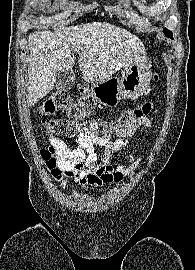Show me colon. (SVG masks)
I'll list each match as a JSON object with an SVG mask.
<instances>
[{
    "instance_id": "colon-1",
    "label": "colon",
    "mask_w": 195,
    "mask_h": 270,
    "mask_svg": "<svg viewBox=\"0 0 195 270\" xmlns=\"http://www.w3.org/2000/svg\"><path fill=\"white\" fill-rule=\"evenodd\" d=\"M158 80V75H154ZM153 109L151 101H145L137 106L127 109L112 123L106 124L99 120H90L95 110V100L87 87H81L78 101L74 102L65 90H58L51 94L41 105L39 112L42 116H50L58 110L68 113V119H43L46 130L51 135L77 136L80 133L93 132L99 134L110 133L116 129L124 128L136 120L147 116ZM42 159L46 162L52 176L61 181L65 172L62 170L60 160L53 155L50 148L40 151Z\"/></svg>"
}]
</instances>
